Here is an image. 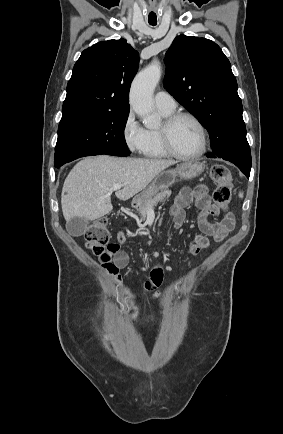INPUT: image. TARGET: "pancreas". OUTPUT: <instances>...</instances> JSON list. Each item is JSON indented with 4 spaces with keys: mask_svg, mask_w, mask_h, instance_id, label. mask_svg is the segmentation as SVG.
Wrapping results in <instances>:
<instances>
[{
    "mask_svg": "<svg viewBox=\"0 0 283 434\" xmlns=\"http://www.w3.org/2000/svg\"><path fill=\"white\" fill-rule=\"evenodd\" d=\"M170 195H171V191L165 189V190L161 191L160 193H158L157 195H155L151 200L148 201L147 204H145L144 206L139 207L137 209V211L141 215L142 220H145V218L147 217L149 211L151 209H153L154 206H156V204L158 202H161L164 199L169 198Z\"/></svg>",
    "mask_w": 283,
    "mask_h": 434,
    "instance_id": "pancreas-1",
    "label": "pancreas"
}]
</instances>
